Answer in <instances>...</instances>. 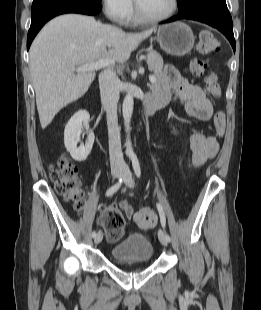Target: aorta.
<instances>
[{
	"label": "aorta",
	"instance_id": "762f6f07",
	"mask_svg": "<svg viewBox=\"0 0 261 310\" xmlns=\"http://www.w3.org/2000/svg\"><path fill=\"white\" fill-rule=\"evenodd\" d=\"M133 106H134V99L133 95L131 93H127L124 101H123V106H122V113H123V119H124V125H125V130L127 133V139H126V153L128 155H133V149L130 141V122H131V117L133 113Z\"/></svg>",
	"mask_w": 261,
	"mask_h": 310
}]
</instances>
